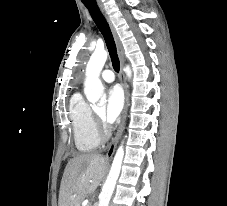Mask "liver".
I'll return each mask as SVG.
<instances>
[{
    "mask_svg": "<svg viewBox=\"0 0 227 206\" xmlns=\"http://www.w3.org/2000/svg\"><path fill=\"white\" fill-rule=\"evenodd\" d=\"M106 168V159L97 153L80 154L70 159L62 177L58 205L80 206L99 186Z\"/></svg>",
    "mask_w": 227,
    "mask_h": 206,
    "instance_id": "6515ba94",
    "label": "liver"
}]
</instances>
